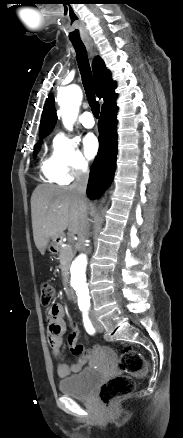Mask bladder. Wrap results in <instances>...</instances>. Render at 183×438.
<instances>
[{"label":"bladder","mask_w":183,"mask_h":438,"mask_svg":"<svg viewBox=\"0 0 183 438\" xmlns=\"http://www.w3.org/2000/svg\"><path fill=\"white\" fill-rule=\"evenodd\" d=\"M100 381V375L93 369H84L76 375L63 378L58 383L60 392L79 399H88Z\"/></svg>","instance_id":"bladder-1"}]
</instances>
